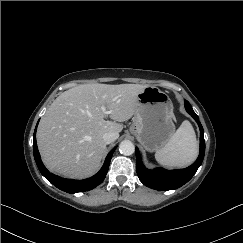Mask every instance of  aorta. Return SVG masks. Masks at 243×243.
I'll list each match as a JSON object with an SVG mask.
<instances>
[{"instance_id":"aorta-1","label":"aorta","mask_w":243,"mask_h":243,"mask_svg":"<svg viewBox=\"0 0 243 243\" xmlns=\"http://www.w3.org/2000/svg\"><path fill=\"white\" fill-rule=\"evenodd\" d=\"M119 151L121 154L129 156L135 151V146L130 140H124L119 145Z\"/></svg>"}]
</instances>
